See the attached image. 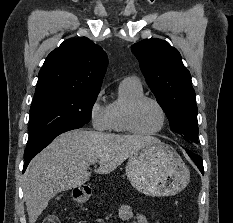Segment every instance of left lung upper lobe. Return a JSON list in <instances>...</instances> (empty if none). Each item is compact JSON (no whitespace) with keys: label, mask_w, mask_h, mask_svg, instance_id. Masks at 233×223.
I'll use <instances>...</instances> for the list:
<instances>
[{"label":"left lung upper lobe","mask_w":233,"mask_h":223,"mask_svg":"<svg viewBox=\"0 0 233 223\" xmlns=\"http://www.w3.org/2000/svg\"><path fill=\"white\" fill-rule=\"evenodd\" d=\"M131 50L171 129L187 142L198 143L195 91L178 50L160 39H144Z\"/></svg>","instance_id":"obj_1"}]
</instances>
